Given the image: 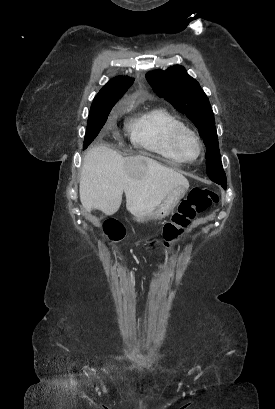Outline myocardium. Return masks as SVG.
Instances as JSON below:
<instances>
[{
  "label": "myocardium",
  "instance_id": "f54148a6",
  "mask_svg": "<svg viewBox=\"0 0 275 409\" xmlns=\"http://www.w3.org/2000/svg\"><path fill=\"white\" fill-rule=\"evenodd\" d=\"M185 136L190 137L193 142L195 143L196 146V154L193 157H199L201 154V143L199 141L198 136L196 135V133L191 130L190 128L187 127H183L181 129H179L178 131H176L172 137V149L174 152L175 157H181L178 153V145L181 141L182 138H184Z\"/></svg>",
  "mask_w": 275,
  "mask_h": 409
}]
</instances>
